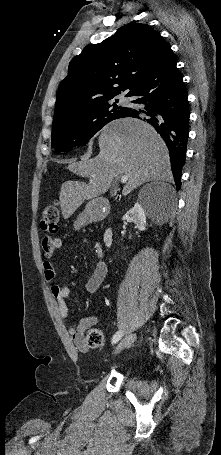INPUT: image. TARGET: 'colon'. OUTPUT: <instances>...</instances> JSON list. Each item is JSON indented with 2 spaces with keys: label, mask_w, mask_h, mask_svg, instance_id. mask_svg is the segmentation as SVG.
I'll use <instances>...</instances> for the list:
<instances>
[{
  "label": "colon",
  "mask_w": 221,
  "mask_h": 455,
  "mask_svg": "<svg viewBox=\"0 0 221 455\" xmlns=\"http://www.w3.org/2000/svg\"><path fill=\"white\" fill-rule=\"evenodd\" d=\"M59 216V204L57 202L48 204L42 212L41 229L45 232L55 233L58 229ZM87 344L92 348L101 347L104 344L103 334L99 330H90L87 335Z\"/></svg>",
  "instance_id": "5ec220e1"
}]
</instances>
